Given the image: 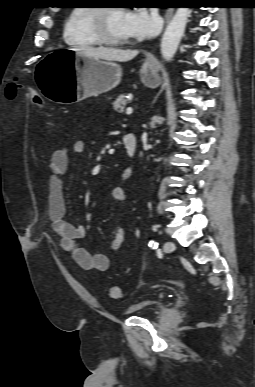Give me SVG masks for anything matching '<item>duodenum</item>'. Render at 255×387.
<instances>
[{"mask_svg": "<svg viewBox=\"0 0 255 387\" xmlns=\"http://www.w3.org/2000/svg\"><path fill=\"white\" fill-rule=\"evenodd\" d=\"M123 143H124V146L126 148V152L128 154L129 157H134V155L136 154V151H137V140H136V137L135 135L133 134H125L123 136ZM132 174V167H127L124 169L123 171V177L124 178H129Z\"/></svg>", "mask_w": 255, "mask_h": 387, "instance_id": "410a0bca", "label": "duodenum"}]
</instances>
